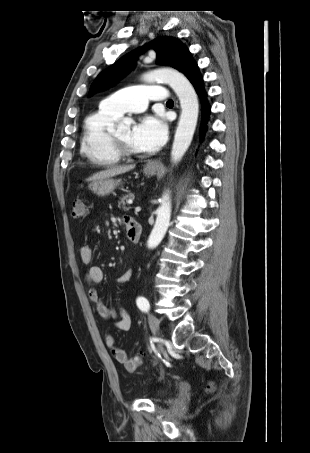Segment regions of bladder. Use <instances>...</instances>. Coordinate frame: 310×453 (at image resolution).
Returning <instances> with one entry per match:
<instances>
[{
	"label": "bladder",
	"mask_w": 310,
	"mask_h": 453,
	"mask_svg": "<svg viewBox=\"0 0 310 453\" xmlns=\"http://www.w3.org/2000/svg\"><path fill=\"white\" fill-rule=\"evenodd\" d=\"M164 392H165L164 389L159 388V389H157V390L155 391L154 397H155V398L161 397V396L164 394Z\"/></svg>",
	"instance_id": "obj_1"
}]
</instances>
